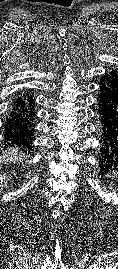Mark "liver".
<instances>
[{"instance_id":"liver-1","label":"liver","mask_w":118,"mask_h":269,"mask_svg":"<svg viewBox=\"0 0 118 269\" xmlns=\"http://www.w3.org/2000/svg\"><path fill=\"white\" fill-rule=\"evenodd\" d=\"M24 156L21 153H18L17 149H11L10 151L3 152V162H18L22 161Z\"/></svg>"}]
</instances>
